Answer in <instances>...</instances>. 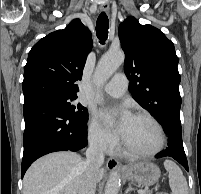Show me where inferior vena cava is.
<instances>
[{"label": "inferior vena cava", "mask_w": 201, "mask_h": 194, "mask_svg": "<svg viewBox=\"0 0 201 194\" xmlns=\"http://www.w3.org/2000/svg\"><path fill=\"white\" fill-rule=\"evenodd\" d=\"M105 145L102 141L93 140L86 150V160L83 162L82 175L78 194H95L97 173L104 162Z\"/></svg>", "instance_id": "inferior-vena-cava-1"}]
</instances>
